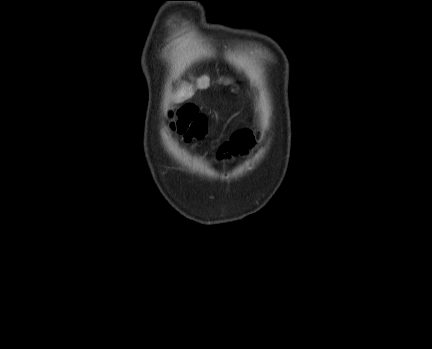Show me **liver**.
<instances>
[{
	"label": "liver",
	"instance_id": "obj_1",
	"mask_svg": "<svg viewBox=\"0 0 432 349\" xmlns=\"http://www.w3.org/2000/svg\"><path fill=\"white\" fill-rule=\"evenodd\" d=\"M209 86V77L203 76L200 79L197 80V87L198 88H207ZM194 94V89L192 86H182L175 97V100L177 103L183 102L189 98H191Z\"/></svg>",
	"mask_w": 432,
	"mask_h": 349
}]
</instances>
